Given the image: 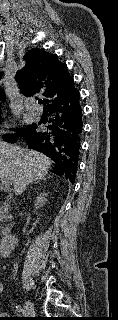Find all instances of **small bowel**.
Segmentation results:
<instances>
[{
  "instance_id": "c3829d8e",
  "label": "small bowel",
  "mask_w": 118,
  "mask_h": 320,
  "mask_svg": "<svg viewBox=\"0 0 118 320\" xmlns=\"http://www.w3.org/2000/svg\"><path fill=\"white\" fill-rule=\"evenodd\" d=\"M4 287H3V283L0 281V293H2Z\"/></svg>"
}]
</instances>
